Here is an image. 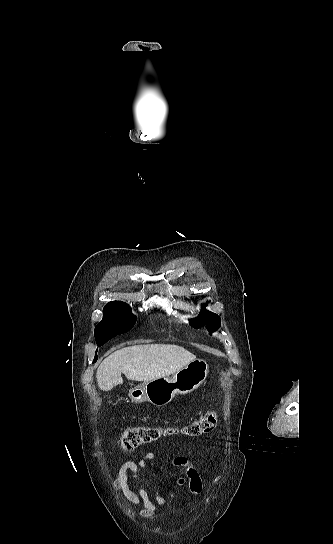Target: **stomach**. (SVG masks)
<instances>
[{
    "instance_id": "stomach-1",
    "label": "stomach",
    "mask_w": 333,
    "mask_h": 544,
    "mask_svg": "<svg viewBox=\"0 0 333 544\" xmlns=\"http://www.w3.org/2000/svg\"><path fill=\"white\" fill-rule=\"evenodd\" d=\"M208 372L207 362L196 359L172 377H160L132 388L129 397L134 403L148 401L155 406H164L177 394H187L197 389L205 381Z\"/></svg>"
}]
</instances>
